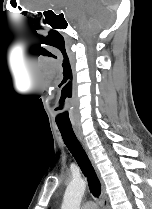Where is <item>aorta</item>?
<instances>
[{"label": "aorta", "instance_id": "obj_1", "mask_svg": "<svg viewBox=\"0 0 152 209\" xmlns=\"http://www.w3.org/2000/svg\"><path fill=\"white\" fill-rule=\"evenodd\" d=\"M86 190V181L73 179L66 188L61 209H80V204Z\"/></svg>", "mask_w": 152, "mask_h": 209}]
</instances>
